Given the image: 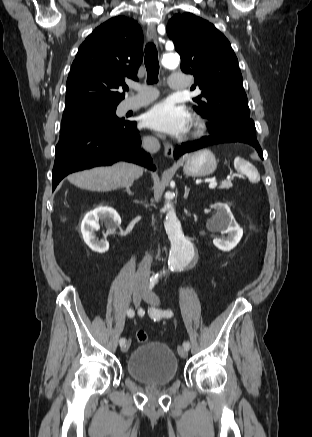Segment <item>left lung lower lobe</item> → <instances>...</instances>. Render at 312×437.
Masks as SVG:
<instances>
[{"instance_id":"0a47b994","label":"left lung lower lobe","mask_w":312,"mask_h":437,"mask_svg":"<svg viewBox=\"0 0 312 437\" xmlns=\"http://www.w3.org/2000/svg\"><path fill=\"white\" fill-rule=\"evenodd\" d=\"M212 134L208 137H204L200 140L183 143L179 148H176L174 151V157L178 158L180 155H183L187 152L196 151L198 149L204 148L209 145L218 144V143H229V142H243L247 143L257 150L259 156L263 159V153L258 141H242L239 138L233 136L229 132L223 129H211Z\"/></svg>"}]
</instances>
